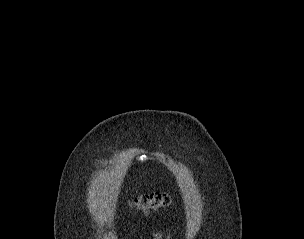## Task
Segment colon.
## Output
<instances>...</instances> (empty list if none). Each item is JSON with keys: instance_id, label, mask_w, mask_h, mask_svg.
<instances>
[{"instance_id": "1", "label": "colon", "mask_w": 304, "mask_h": 239, "mask_svg": "<svg viewBox=\"0 0 304 239\" xmlns=\"http://www.w3.org/2000/svg\"><path fill=\"white\" fill-rule=\"evenodd\" d=\"M172 198L167 193L152 192L135 197L131 201L133 208L148 214L158 209L170 206Z\"/></svg>"}]
</instances>
